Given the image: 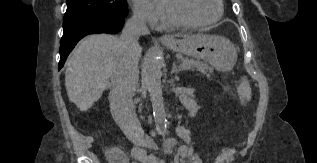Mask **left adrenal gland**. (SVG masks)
<instances>
[{"label":"left adrenal gland","instance_id":"left-adrenal-gland-1","mask_svg":"<svg viewBox=\"0 0 317 163\" xmlns=\"http://www.w3.org/2000/svg\"><path fill=\"white\" fill-rule=\"evenodd\" d=\"M177 64L173 62L171 74L178 73Z\"/></svg>","mask_w":317,"mask_h":163}]
</instances>
